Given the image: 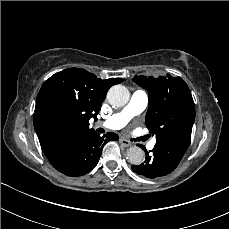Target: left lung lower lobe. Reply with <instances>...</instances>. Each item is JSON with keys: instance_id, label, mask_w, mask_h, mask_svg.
<instances>
[{"instance_id": "0a47b994", "label": "left lung lower lobe", "mask_w": 229, "mask_h": 229, "mask_svg": "<svg viewBox=\"0 0 229 229\" xmlns=\"http://www.w3.org/2000/svg\"><path fill=\"white\" fill-rule=\"evenodd\" d=\"M144 150L146 153L145 161L137 166L132 165V170L135 173L154 179L171 173L177 167V165L168 162L157 147H154L150 151L151 153L147 152L145 148Z\"/></svg>"}]
</instances>
